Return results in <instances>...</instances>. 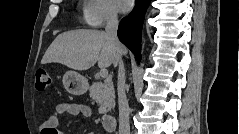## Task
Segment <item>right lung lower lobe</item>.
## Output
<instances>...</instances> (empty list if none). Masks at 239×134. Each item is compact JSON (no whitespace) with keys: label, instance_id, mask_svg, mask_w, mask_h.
<instances>
[{"label":"right lung lower lobe","instance_id":"obj_1","mask_svg":"<svg viewBox=\"0 0 239 134\" xmlns=\"http://www.w3.org/2000/svg\"><path fill=\"white\" fill-rule=\"evenodd\" d=\"M135 7L129 16L123 18L118 27V37L141 60V31L145 12L151 0H135Z\"/></svg>","mask_w":239,"mask_h":134}]
</instances>
